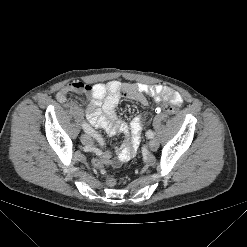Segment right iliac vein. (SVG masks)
I'll list each match as a JSON object with an SVG mask.
<instances>
[{
  "label": "right iliac vein",
  "mask_w": 247,
  "mask_h": 247,
  "mask_svg": "<svg viewBox=\"0 0 247 247\" xmlns=\"http://www.w3.org/2000/svg\"><path fill=\"white\" fill-rule=\"evenodd\" d=\"M80 140L83 145H91L93 143L92 138L87 133H83L80 137Z\"/></svg>",
  "instance_id": "1"
}]
</instances>
